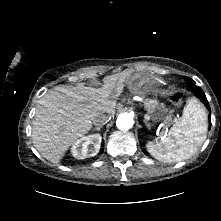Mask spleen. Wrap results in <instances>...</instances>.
I'll list each match as a JSON object with an SVG mask.
<instances>
[{
	"instance_id": "3e777b00",
	"label": "spleen",
	"mask_w": 221,
	"mask_h": 221,
	"mask_svg": "<svg viewBox=\"0 0 221 221\" xmlns=\"http://www.w3.org/2000/svg\"><path fill=\"white\" fill-rule=\"evenodd\" d=\"M207 113L195 98L187 101L182 117L175 121L167 135L147 143V151L163 162H180L190 158L206 139Z\"/></svg>"
}]
</instances>
